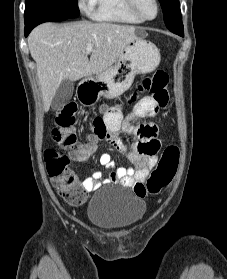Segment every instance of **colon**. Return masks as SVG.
<instances>
[{"label": "colon", "instance_id": "obj_1", "mask_svg": "<svg viewBox=\"0 0 227 279\" xmlns=\"http://www.w3.org/2000/svg\"><path fill=\"white\" fill-rule=\"evenodd\" d=\"M167 84L168 76L164 71L160 70L146 78L138 86L137 93H146L148 95L145 98L149 99L148 102L141 105V113L143 115L163 108L168 104ZM137 93L132 95L130 103L136 100ZM76 114L77 106L75 103L70 102L58 109L54 116L52 129L54 141L69 153L53 148H48L44 153L48 175L50 178L57 179L56 188L58 192L66 201L73 204L80 202V197L78 196L80 183L75 173L69 168L70 156L83 160L92 151L91 148H87L78 142L76 134L71 129L75 122ZM92 125L96 134H101L107 130L105 121L100 116L94 117ZM64 127H68V130L64 131ZM118 129V125H112L108 130L116 131ZM138 132L143 138L154 134L153 129L148 126H140ZM158 149V146L152 142L142 143L139 147L140 153L147 157L153 156ZM179 157L178 147L175 144L168 145L163 151L157 166L147 179L145 189L135 180H130L128 185L132 186L134 193L140 197H144L146 194H159L174 179L179 165Z\"/></svg>", "mask_w": 227, "mask_h": 279}]
</instances>
